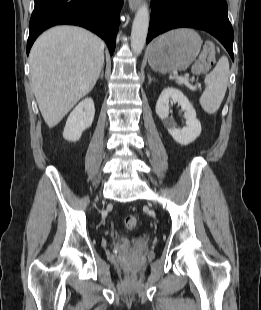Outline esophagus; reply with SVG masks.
<instances>
[{"mask_svg":"<svg viewBox=\"0 0 261 310\" xmlns=\"http://www.w3.org/2000/svg\"><path fill=\"white\" fill-rule=\"evenodd\" d=\"M140 4V0H129V7L132 12L136 11Z\"/></svg>","mask_w":261,"mask_h":310,"instance_id":"obj_1","label":"esophagus"}]
</instances>
